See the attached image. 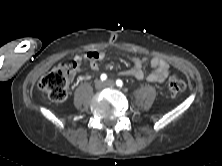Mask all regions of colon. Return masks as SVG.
<instances>
[{"label": "colon", "instance_id": "obj_1", "mask_svg": "<svg viewBox=\"0 0 222 166\" xmlns=\"http://www.w3.org/2000/svg\"><path fill=\"white\" fill-rule=\"evenodd\" d=\"M71 76L72 69L66 64H59L40 78L38 86L53 102L61 103L67 97ZM167 87L172 95H177L185 90L186 84L179 76L172 74L168 79Z\"/></svg>", "mask_w": 222, "mask_h": 166}]
</instances>
